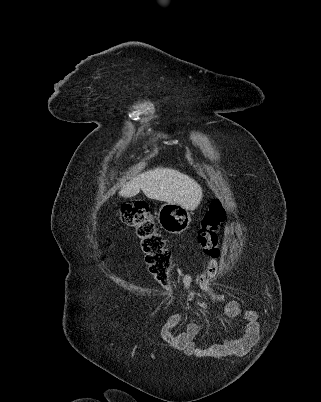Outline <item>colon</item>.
<instances>
[{
  "label": "colon",
  "instance_id": "colon-1",
  "mask_svg": "<svg viewBox=\"0 0 321 402\" xmlns=\"http://www.w3.org/2000/svg\"><path fill=\"white\" fill-rule=\"evenodd\" d=\"M117 217L133 229L149 271L155 276L164 292H171L173 289L170 278L171 251L166 239L157 229L148 205L144 202L123 205L118 209ZM225 219L226 210L220 200L213 201L201 219L197 241L207 258V266L204 274H197L195 277L199 294L213 293L209 278L215 276L218 271L220 247L217 230ZM213 299L218 300V297L213 295Z\"/></svg>",
  "mask_w": 321,
  "mask_h": 402
}]
</instances>
